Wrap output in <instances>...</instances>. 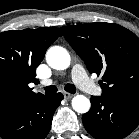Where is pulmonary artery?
Masks as SVG:
<instances>
[{
    "instance_id": "obj_1",
    "label": "pulmonary artery",
    "mask_w": 139,
    "mask_h": 139,
    "mask_svg": "<svg viewBox=\"0 0 139 139\" xmlns=\"http://www.w3.org/2000/svg\"><path fill=\"white\" fill-rule=\"evenodd\" d=\"M72 78L77 86L83 91L92 95H101L102 89L94 84L87 76L84 68L81 65H75L72 69ZM44 85L51 84V80L43 82Z\"/></svg>"
}]
</instances>
